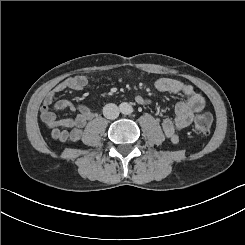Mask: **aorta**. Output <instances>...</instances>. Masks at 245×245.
I'll use <instances>...</instances> for the list:
<instances>
[{"label": "aorta", "instance_id": "762f6f07", "mask_svg": "<svg viewBox=\"0 0 245 245\" xmlns=\"http://www.w3.org/2000/svg\"><path fill=\"white\" fill-rule=\"evenodd\" d=\"M120 110L122 113L126 114L129 113L131 110V107L128 103H121L120 104Z\"/></svg>", "mask_w": 245, "mask_h": 245}]
</instances>
